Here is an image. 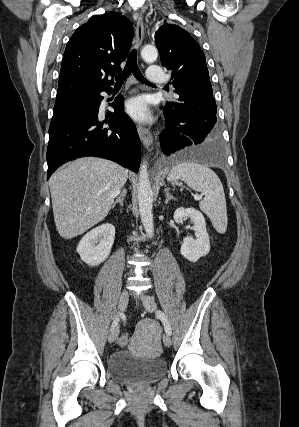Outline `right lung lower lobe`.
<instances>
[{"label": "right lung lower lobe", "instance_id": "98d812e1", "mask_svg": "<svg viewBox=\"0 0 299 427\" xmlns=\"http://www.w3.org/2000/svg\"><path fill=\"white\" fill-rule=\"evenodd\" d=\"M90 92L54 106L47 148L48 175L67 161L83 156H97L117 162L137 172L140 164V141L136 128L123 112L119 96L112 104L114 113L107 121L98 118L102 100L100 92Z\"/></svg>", "mask_w": 299, "mask_h": 427}]
</instances>
